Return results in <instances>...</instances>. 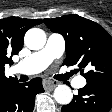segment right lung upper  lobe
Returning a JSON list of instances; mask_svg holds the SVG:
<instances>
[{
  "instance_id": "obj_1",
  "label": "right lung upper lobe",
  "mask_w": 112,
  "mask_h": 112,
  "mask_svg": "<svg viewBox=\"0 0 112 112\" xmlns=\"http://www.w3.org/2000/svg\"><path fill=\"white\" fill-rule=\"evenodd\" d=\"M43 21L41 19H22L9 17L0 19V93L5 86L12 82V78L5 76L6 64H12V56L18 54L23 47L26 31Z\"/></svg>"
}]
</instances>
